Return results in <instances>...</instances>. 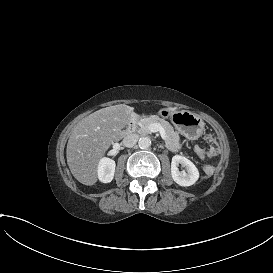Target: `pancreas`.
<instances>
[{
    "label": "pancreas",
    "mask_w": 273,
    "mask_h": 273,
    "mask_svg": "<svg viewBox=\"0 0 273 273\" xmlns=\"http://www.w3.org/2000/svg\"><path fill=\"white\" fill-rule=\"evenodd\" d=\"M151 123H158L165 131L166 140L165 147L173 153L180 152L183 148L182 143L180 142L179 133L174 131L173 127L165 120L160 119L156 116H147L138 121L140 134H148L150 131L147 126Z\"/></svg>",
    "instance_id": "cf45deb5"
}]
</instances>
